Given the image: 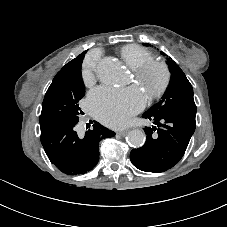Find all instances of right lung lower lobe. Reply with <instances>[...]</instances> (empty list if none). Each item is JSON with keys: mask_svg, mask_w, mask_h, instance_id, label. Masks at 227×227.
<instances>
[{"mask_svg": "<svg viewBox=\"0 0 227 227\" xmlns=\"http://www.w3.org/2000/svg\"><path fill=\"white\" fill-rule=\"evenodd\" d=\"M77 123L55 124L41 132L40 137L50 162L68 175L92 170L99 160V142L115 136V132L95 122L93 130L80 138L75 131Z\"/></svg>", "mask_w": 227, "mask_h": 227, "instance_id": "obj_1", "label": "right lung lower lobe"}]
</instances>
